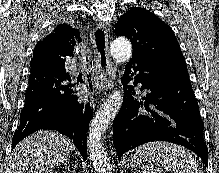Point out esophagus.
Instances as JSON below:
<instances>
[{"instance_id": "34e87169", "label": "esophagus", "mask_w": 219, "mask_h": 173, "mask_svg": "<svg viewBox=\"0 0 219 173\" xmlns=\"http://www.w3.org/2000/svg\"><path fill=\"white\" fill-rule=\"evenodd\" d=\"M92 43L99 69L98 85L101 89L110 88L116 77V69L108 51L107 29L103 23H99L95 27L92 35Z\"/></svg>"}]
</instances>
